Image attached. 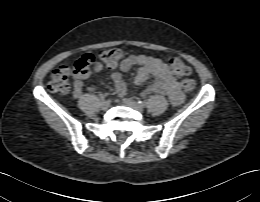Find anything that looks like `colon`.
<instances>
[{
    "mask_svg": "<svg viewBox=\"0 0 260 202\" xmlns=\"http://www.w3.org/2000/svg\"><path fill=\"white\" fill-rule=\"evenodd\" d=\"M122 56L121 50L117 48L103 49L96 54H86L78 59L74 65H63L54 70L48 88L52 92L67 93L70 90L69 78L71 75L88 70L95 66L97 61H101L106 67H114ZM169 69L177 76L184 77L182 84L185 91L191 94L196 82L187 77L191 73L190 67L179 57H168Z\"/></svg>",
    "mask_w": 260,
    "mask_h": 202,
    "instance_id": "obj_1",
    "label": "colon"
}]
</instances>
